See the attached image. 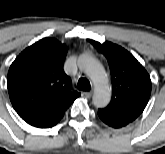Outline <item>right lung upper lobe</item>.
<instances>
[{
  "label": "right lung upper lobe",
  "instance_id": "right-lung-upper-lobe-1",
  "mask_svg": "<svg viewBox=\"0 0 165 154\" xmlns=\"http://www.w3.org/2000/svg\"><path fill=\"white\" fill-rule=\"evenodd\" d=\"M67 47L44 38L26 48L11 64L7 87L11 103L23 119L40 114L66 98L80 93L71 87L63 70Z\"/></svg>",
  "mask_w": 165,
  "mask_h": 154
}]
</instances>
